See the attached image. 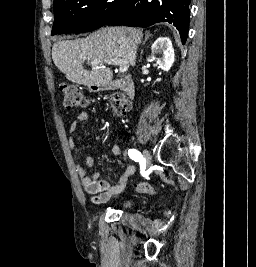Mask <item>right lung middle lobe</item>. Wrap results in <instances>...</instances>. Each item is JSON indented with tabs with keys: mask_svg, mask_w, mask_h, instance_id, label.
I'll list each match as a JSON object with an SVG mask.
<instances>
[{
	"mask_svg": "<svg viewBox=\"0 0 256 267\" xmlns=\"http://www.w3.org/2000/svg\"><path fill=\"white\" fill-rule=\"evenodd\" d=\"M132 0H56L51 35L89 32L123 15Z\"/></svg>",
	"mask_w": 256,
	"mask_h": 267,
	"instance_id": "1",
	"label": "right lung middle lobe"
}]
</instances>
